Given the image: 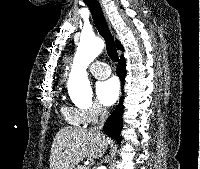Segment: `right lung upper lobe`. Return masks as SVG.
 <instances>
[{"label": "right lung upper lobe", "mask_w": 200, "mask_h": 169, "mask_svg": "<svg viewBox=\"0 0 200 169\" xmlns=\"http://www.w3.org/2000/svg\"><path fill=\"white\" fill-rule=\"evenodd\" d=\"M116 46L119 50L124 51L123 46L121 45V43L119 41H116ZM122 57V56H121Z\"/></svg>", "instance_id": "cb5924a9"}]
</instances>
